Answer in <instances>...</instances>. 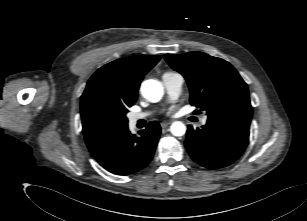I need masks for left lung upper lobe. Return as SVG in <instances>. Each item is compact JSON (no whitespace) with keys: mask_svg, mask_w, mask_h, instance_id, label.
I'll return each mask as SVG.
<instances>
[{"mask_svg":"<svg viewBox=\"0 0 307 221\" xmlns=\"http://www.w3.org/2000/svg\"><path fill=\"white\" fill-rule=\"evenodd\" d=\"M190 89V103L209 118L233 117L251 121L253 110L247 84L227 61L202 52L165 54Z\"/></svg>","mask_w":307,"mask_h":221,"instance_id":"1","label":"left lung upper lobe"}]
</instances>
